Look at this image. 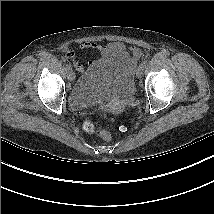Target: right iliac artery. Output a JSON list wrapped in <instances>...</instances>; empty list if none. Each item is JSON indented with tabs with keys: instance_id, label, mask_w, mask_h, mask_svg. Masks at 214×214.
<instances>
[{
	"instance_id": "1",
	"label": "right iliac artery",
	"mask_w": 214,
	"mask_h": 214,
	"mask_svg": "<svg viewBox=\"0 0 214 214\" xmlns=\"http://www.w3.org/2000/svg\"><path fill=\"white\" fill-rule=\"evenodd\" d=\"M66 68L69 69V68H70V65L67 64V65H66Z\"/></svg>"
}]
</instances>
